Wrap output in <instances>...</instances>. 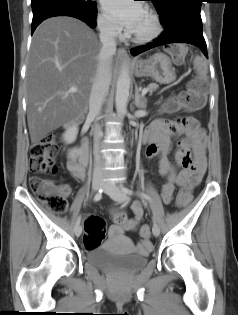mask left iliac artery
<instances>
[{"instance_id":"left-iliac-artery-1","label":"left iliac artery","mask_w":238,"mask_h":315,"mask_svg":"<svg viewBox=\"0 0 238 315\" xmlns=\"http://www.w3.org/2000/svg\"><path fill=\"white\" fill-rule=\"evenodd\" d=\"M121 190H122V192H124L125 194H129V195L136 194V195H139V196H141L142 198L148 200L150 203L152 202L150 196H148V195L145 194V193L134 192L133 190H131V189L125 187V186H121ZM153 222H154V224H156L155 216H153Z\"/></svg>"}]
</instances>
